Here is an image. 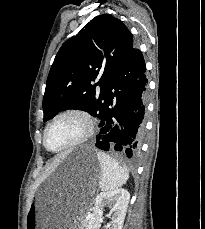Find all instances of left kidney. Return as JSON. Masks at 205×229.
<instances>
[{
	"mask_svg": "<svg viewBox=\"0 0 205 229\" xmlns=\"http://www.w3.org/2000/svg\"><path fill=\"white\" fill-rule=\"evenodd\" d=\"M130 194L125 189H115L100 193L95 199L93 213L89 215V222L86 229H99L103 219L104 207L110 210L109 229H122L127 212Z\"/></svg>",
	"mask_w": 205,
	"mask_h": 229,
	"instance_id": "1",
	"label": "left kidney"
}]
</instances>
